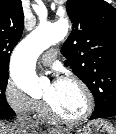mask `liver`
<instances>
[{"instance_id": "obj_1", "label": "liver", "mask_w": 116, "mask_h": 134, "mask_svg": "<svg viewBox=\"0 0 116 134\" xmlns=\"http://www.w3.org/2000/svg\"><path fill=\"white\" fill-rule=\"evenodd\" d=\"M0 134H22V133L17 128V126L0 121Z\"/></svg>"}]
</instances>
